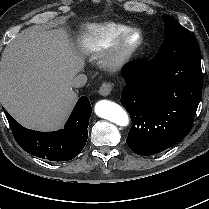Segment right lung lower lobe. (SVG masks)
Here are the masks:
<instances>
[{
  "mask_svg": "<svg viewBox=\"0 0 209 209\" xmlns=\"http://www.w3.org/2000/svg\"><path fill=\"white\" fill-rule=\"evenodd\" d=\"M91 111L88 98L82 96L64 129L45 133L22 127L4 110L14 138L21 148L33 156L50 161H68L82 151L88 138Z\"/></svg>",
  "mask_w": 209,
  "mask_h": 209,
  "instance_id": "1",
  "label": "right lung lower lobe"
}]
</instances>
